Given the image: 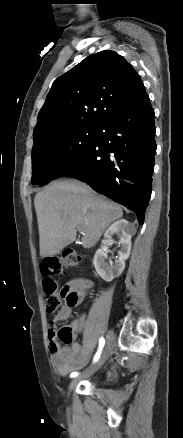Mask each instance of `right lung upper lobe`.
I'll list each match as a JSON object with an SVG mask.
<instances>
[{
  "mask_svg": "<svg viewBox=\"0 0 183 438\" xmlns=\"http://www.w3.org/2000/svg\"><path fill=\"white\" fill-rule=\"evenodd\" d=\"M146 95L139 75L122 56L107 50L90 55L54 81L33 139L75 127H98Z\"/></svg>",
  "mask_w": 183,
  "mask_h": 438,
  "instance_id": "obj_1",
  "label": "right lung upper lobe"
}]
</instances>
